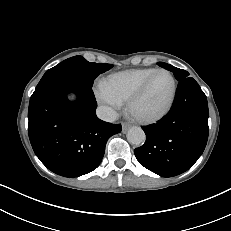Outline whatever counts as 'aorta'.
<instances>
[{"label": "aorta", "mask_w": 231, "mask_h": 231, "mask_svg": "<svg viewBox=\"0 0 231 231\" xmlns=\"http://www.w3.org/2000/svg\"><path fill=\"white\" fill-rule=\"evenodd\" d=\"M146 136L140 127H132L127 133V140L134 145H141L145 142Z\"/></svg>", "instance_id": "762f6f07"}]
</instances>
